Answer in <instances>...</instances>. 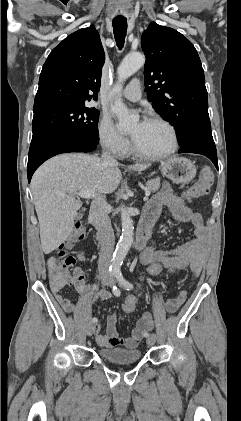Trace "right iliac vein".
<instances>
[{"label": "right iliac vein", "mask_w": 241, "mask_h": 421, "mask_svg": "<svg viewBox=\"0 0 241 421\" xmlns=\"http://www.w3.org/2000/svg\"><path fill=\"white\" fill-rule=\"evenodd\" d=\"M106 285H110L111 283L109 281H105ZM95 331V324L94 323H90L87 327V334L88 336H91Z\"/></svg>", "instance_id": "right-iliac-vein-1"}]
</instances>
